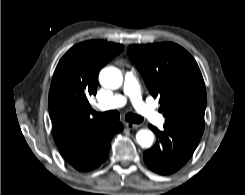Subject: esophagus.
<instances>
[{"label":"esophagus","mask_w":245,"mask_h":195,"mask_svg":"<svg viewBox=\"0 0 245 195\" xmlns=\"http://www.w3.org/2000/svg\"><path fill=\"white\" fill-rule=\"evenodd\" d=\"M125 126L127 129H131V130L137 129L139 127L138 124H134V123H130V122L125 123Z\"/></svg>","instance_id":"1"}]
</instances>
